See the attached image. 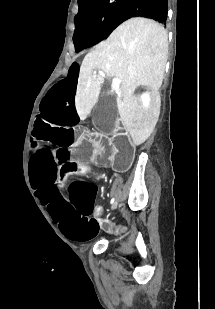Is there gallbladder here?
I'll return each instance as SVG.
<instances>
[{
	"label": "gallbladder",
	"mask_w": 215,
	"mask_h": 309,
	"mask_svg": "<svg viewBox=\"0 0 215 309\" xmlns=\"http://www.w3.org/2000/svg\"><path fill=\"white\" fill-rule=\"evenodd\" d=\"M94 111V121L99 126V131L102 134H107L109 128L113 127V122L117 116V100L114 92H105L101 94Z\"/></svg>",
	"instance_id": "gallbladder-1"
}]
</instances>
